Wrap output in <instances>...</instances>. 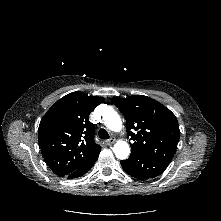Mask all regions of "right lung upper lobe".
<instances>
[{
	"label": "right lung upper lobe",
	"mask_w": 221,
	"mask_h": 221,
	"mask_svg": "<svg viewBox=\"0 0 221 221\" xmlns=\"http://www.w3.org/2000/svg\"><path fill=\"white\" fill-rule=\"evenodd\" d=\"M103 101L102 97L73 92L58 100L42 118L38 141L56 175L65 177L99 155L101 147L94 142L95 127L89 114Z\"/></svg>",
	"instance_id": "1"
}]
</instances>
